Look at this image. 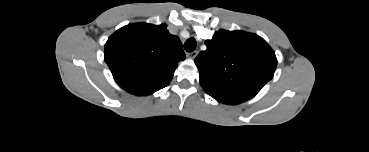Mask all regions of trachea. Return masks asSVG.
<instances>
[{"instance_id":"trachea-1","label":"trachea","mask_w":369,"mask_h":152,"mask_svg":"<svg viewBox=\"0 0 369 152\" xmlns=\"http://www.w3.org/2000/svg\"><path fill=\"white\" fill-rule=\"evenodd\" d=\"M196 40L191 37L189 38L185 43H184V49L187 51V52H193L196 48Z\"/></svg>"}]
</instances>
